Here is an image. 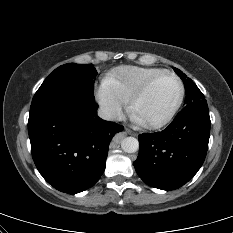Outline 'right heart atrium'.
Here are the masks:
<instances>
[{
    "label": "right heart atrium",
    "instance_id": "obj_1",
    "mask_svg": "<svg viewBox=\"0 0 233 233\" xmlns=\"http://www.w3.org/2000/svg\"><path fill=\"white\" fill-rule=\"evenodd\" d=\"M95 97L108 118L115 119L122 114L124 103L116 98L104 85L96 88Z\"/></svg>",
    "mask_w": 233,
    "mask_h": 233
}]
</instances>
